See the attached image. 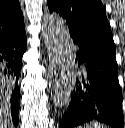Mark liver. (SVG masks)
<instances>
[{
  "label": "liver",
  "instance_id": "6515ba94",
  "mask_svg": "<svg viewBox=\"0 0 125 128\" xmlns=\"http://www.w3.org/2000/svg\"><path fill=\"white\" fill-rule=\"evenodd\" d=\"M9 97L10 93L0 82V128H12L13 125L9 119Z\"/></svg>",
  "mask_w": 125,
  "mask_h": 128
}]
</instances>
